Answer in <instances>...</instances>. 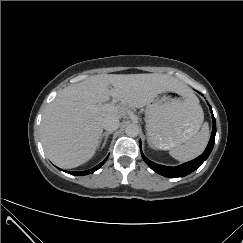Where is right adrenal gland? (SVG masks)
<instances>
[{
  "label": "right adrenal gland",
  "mask_w": 243,
  "mask_h": 243,
  "mask_svg": "<svg viewBox=\"0 0 243 243\" xmlns=\"http://www.w3.org/2000/svg\"><path fill=\"white\" fill-rule=\"evenodd\" d=\"M112 133H113V132H105V133L102 134L101 139H100V143L103 141L101 150L105 147L106 142H107V140H108V137H109V135L112 134Z\"/></svg>",
  "instance_id": "2a0ac1e0"
}]
</instances>
